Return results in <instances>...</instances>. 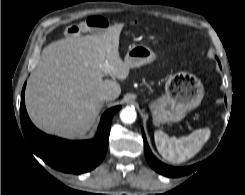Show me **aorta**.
<instances>
[{
  "label": "aorta",
  "instance_id": "aorta-1",
  "mask_svg": "<svg viewBox=\"0 0 245 195\" xmlns=\"http://www.w3.org/2000/svg\"><path fill=\"white\" fill-rule=\"evenodd\" d=\"M137 114L134 108L126 107L120 113V118L122 122L131 124L134 123L136 120Z\"/></svg>",
  "mask_w": 245,
  "mask_h": 195
}]
</instances>
